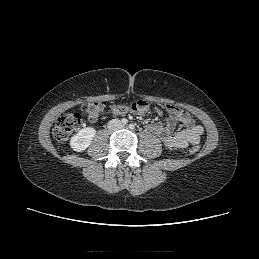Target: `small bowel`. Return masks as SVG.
Instances as JSON below:
<instances>
[{"label": "small bowel", "mask_w": 259, "mask_h": 259, "mask_svg": "<svg viewBox=\"0 0 259 259\" xmlns=\"http://www.w3.org/2000/svg\"><path fill=\"white\" fill-rule=\"evenodd\" d=\"M165 112L168 115L166 124L152 123L146 126L147 130L157 135L165 146L181 149L187 147L189 144L196 145L200 142V137L204 129L186 111L176 106L167 105ZM177 122L181 123L184 129L175 131Z\"/></svg>", "instance_id": "1"}]
</instances>
